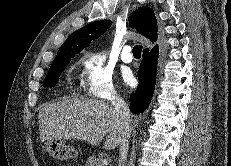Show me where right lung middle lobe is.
<instances>
[{
    "label": "right lung middle lobe",
    "mask_w": 231,
    "mask_h": 166,
    "mask_svg": "<svg viewBox=\"0 0 231 166\" xmlns=\"http://www.w3.org/2000/svg\"><path fill=\"white\" fill-rule=\"evenodd\" d=\"M74 55H61L54 59L46 78L43 81L44 86L53 87L58 83L59 76L66 65Z\"/></svg>",
    "instance_id": "1"
}]
</instances>
